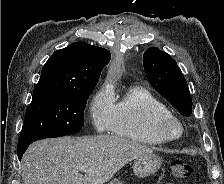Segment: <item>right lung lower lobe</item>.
<instances>
[{"mask_svg": "<svg viewBox=\"0 0 224 184\" xmlns=\"http://www.w3.org/2000/svg\"><path fill=\"white\" fill-rule=\"evenodd\" d=\"M29 144L27 145H22V146H17V154H18V158L19 160H21L23 153L26 151V149L28 148Z\"/></svg>", "mask_w": 224, "mask_h": 184, "instance_id": "right-lung-lower-lobe-1", "label": "right lung lower lobe"}]
</instances>
